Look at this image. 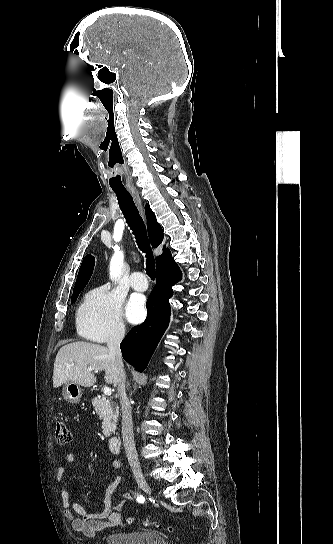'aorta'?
<instances>
[{"instance_id":"aorta-1","label":"aorta","mask_w":333,"mask_h":544,"mask_svg":"<svg viewBox=\"0 0 333 544\" xmlns=\"http://www.w3.org/2000/svg\"><path fill=\"white\" fill-rule=\"evenodd\" d=\"M123 253L120 250H116L110 264V277L111 279H116L120 271V266L123 261Z\"/></svg>"}]
</instances>
